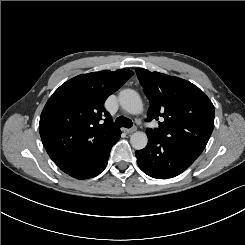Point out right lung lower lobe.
Listing matches in <instances>:
<instances>
[{"label": "right lung lower lobe", "instance_id": "right-lung-lower-lobe-1", "mask_svg": "<svg viewBox=\"0 0 245 245\" xmlns=\"http://www.w3.org/2000/svg\"><path fill=\"white\" fill-rule=\"evenodd\" d=\"M120 135L121 132L117 133L112 140L99 149L79 154L72 162L60 169L79 180L97 176L105 169L111 148L119 140Z\"/></svg>", "mask_w": 245, "mask_h": 245}]
</instances>
